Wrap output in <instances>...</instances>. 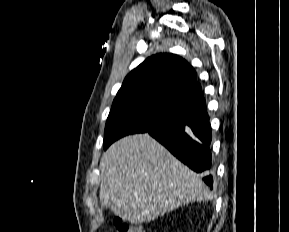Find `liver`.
<instances>
[{
    "instance_id": "6515ba94",
    "label": "liver",
    "mask_w": 289,
    "mask_h": 232,
    "mask_svg": "<svg viewBox=\"0 0 289 232\" xmlns=\"http://www.w3.org/2000/svg\"><path fill=\"white\" fill-rule=\"evenodd\" d=\"M99 170L102 206L131 224L210 199L200 177L147 133L113 143L102 155Z\"/></svg>"
}]
</instances>
